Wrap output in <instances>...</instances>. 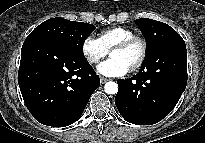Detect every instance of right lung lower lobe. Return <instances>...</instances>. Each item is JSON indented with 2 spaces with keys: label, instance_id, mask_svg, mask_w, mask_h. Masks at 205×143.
Returning a JSON list of instances; mask_svg holds the SVG:
<instances>
[{
  "label": "right lung lower lobe",
  "instance_id": "98d812e1",
  "mask_svg": "<svg viewBox=\"0 0 205 143\" xmlns=\"http://www.w3.org/2000/svg\"><path fill=\"white\" fill-rule=\"evenodd\" d=\"M18 83L37 121L65 127L82 115L100 79L82 54L50 37L30 34L21 49Z\"/></svg>",
  "mask_w": 205,
  "mask_h": 143
}]
</instances>
